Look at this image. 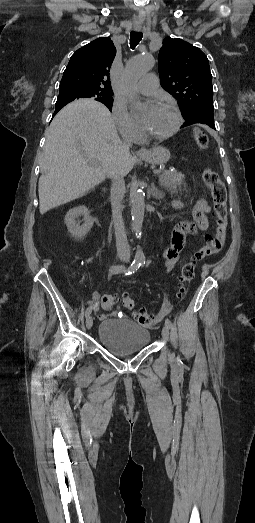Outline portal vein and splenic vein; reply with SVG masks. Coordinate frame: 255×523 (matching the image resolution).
Listing matches in <instances>:
<instances>
[{
  "label": "portal vein and splenic vein",
  "mask_w": 255,
  "mask_h": 523,
  "mask_svg": "<svg viewBox=\"0 0 255 523\" xmlns=\"http://www.w3.org/2000/svg\"><path fill=\"white\" fill-rule=\"evenodd\" d=\"M163 172H167V169H163ZM161 174V171L159 169L151 170V175L159 176Z\"/></svg>",
  "instance_id": "obj_1"
}]
</instances>
